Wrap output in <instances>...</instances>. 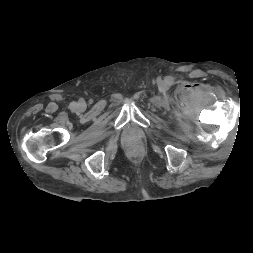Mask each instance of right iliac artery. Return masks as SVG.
<instances>
[{
    "label": "right iliac artery",
    "mask_w": 253,
    "mask_h": 253,
    "mask_svg": "<svg viewBox=\"0 0 253 253\" xmlns=\"http://www.w3.org/2000/svg\"><path fill=\"white\" fill-rule=\"evenodd\" d=\"M71 106H72V107H74V106H75V104H74V103H72V104H71Z\"/></svg>",
    "instance_id": "1"
}]
</instances>
